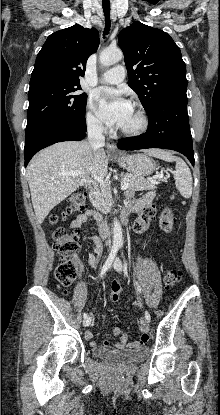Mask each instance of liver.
Segmentation results:
<instances>
[{
    "label": "liver",
    "mask_w": 220,
    "mask_h": 415,
    "mask_svg": "<svg viewBox=\"0 0 220 415\" xmlns=\"http://www.w3.org/2000/svg\"><path fill=\"white\" fill-rule=\"evenodd\" d=\"M81 171L78 176L65 172ZM108 158L103 149L95 153L87 141H65L42 150L27 167V180L38 223L80 186L91 182L93 175L104 177Z\"/></svg>",
    "instance_id": "obj_1"
}]
</instances>
